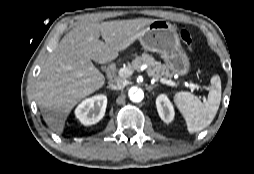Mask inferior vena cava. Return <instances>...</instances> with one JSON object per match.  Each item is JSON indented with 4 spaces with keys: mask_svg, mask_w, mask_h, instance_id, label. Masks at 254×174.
<instances>
[{
    "mask_svg": "<svg viewBox=\"0 0 254 174\" xmlns=\"http://www.w3.org/2000/svg\"><path fill=\"white\" fill-rule=\"evenodd\" d=\"M125 86V83L123 80L121 79H116V80H112L109 83V88L113 89V90H120L123 89Z\"/></svg>",
    "mask_w": 254,
    "mask_h": 174,
    "instance_id": "inferior-vena-cava-1",
    "label": "inferior vena cava"
}]
</instances>
